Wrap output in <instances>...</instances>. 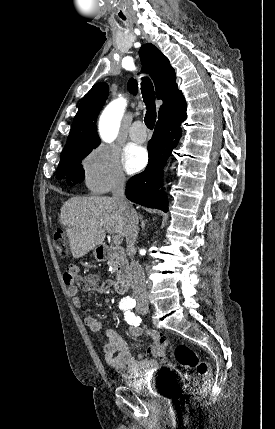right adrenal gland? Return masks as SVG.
<instances>
[{"mask_svg":"<svg viewBox=\"0 0 275 429\" xmlns=\"http://www.w3.org/2000/svg\"><path fill=\"white\" fill-rule=\"evenodd\" d=\"M139 219L141 221V228H142V230H144V228H145V220H143V218H142L141 215H139Z\"/></svg>","mask_w":275,"mask_h":429,"instance_id":"2a0ac1e0","label":"right adrenal gland"}]
</instances>
